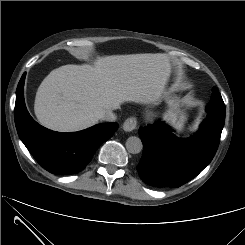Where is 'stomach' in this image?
<instances>
[{"mask_svg":"<svg viewBox=\"0 0 245 245\" xmlns=\"http://www.w3.org/2000/svg\"><path fill=\"white\" fill-rule=\"evenodd\" d=\"M168 118L176 124L177 128H182L186 117L183 115L179 102L176 100L170 101V110L168 112Z\"/></svg>","mask_w":245,"mask_h":245,"instance_id":"1","label":"stomach"}]
</instances>
